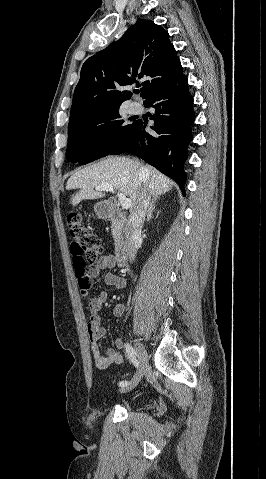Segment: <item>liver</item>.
<instances>
[{"label": "liver", "mask_w": 266, "mask_h": 479, "mask_svg": "<svg viewBox=\"0 0 266 479\" xmlns=\"http://www.w3.org/2000/svg\"><path fill=\"white\" fill-rule=\"evenodd\" d=\"M142 169V170H141ZM143 183L148 185L153 198L168 192L174 184L171 179L149 165L127 157H108L74 173L67 181L66 189H80L72 199L76 206L82 200H94L105 197L102 191L94 190L103 184L128 196L131 209L135 205Z\"/></svg>", "instance_id": "obj_1"}]
</instances>
